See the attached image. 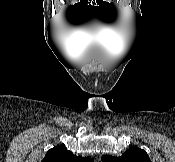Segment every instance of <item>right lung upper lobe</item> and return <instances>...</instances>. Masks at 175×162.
<instances>
[{
	"instance_id": "1",
	"label": "right lung upper lobe",
	"mask_w": 175,
	"mask_h": 162,
	"mask_svg": "<svg viewBox=\"0 0 175 162\" xmlns=\"http://www.w3.org/2000/svg\"><path fill=\"white\" fill-rule=\"evenodd\" d=\"M41 162H93L90 157L74 155L65 147L57 146L49 149Z\"/></svg>"
}]
</instances>
